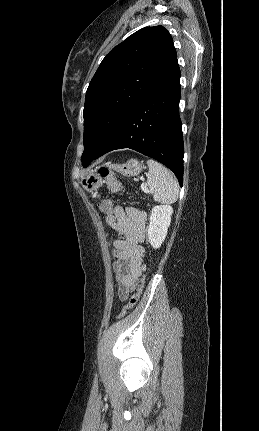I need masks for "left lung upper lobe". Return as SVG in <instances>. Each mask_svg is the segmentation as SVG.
I'll use <instances>...</instances> for the list:
<instances>
[{
    "label": "left lung upper lobe",
    "instance_id": "5c2ea615",
    "mask_svg": "<svg viewBox=\"0 0 259 431\" xmlns=\"http://www.w3.org/2000/svg\"><path fill=\"white\" fill-rule=\"evenodd\" d=\"M176 59L173 39L163 26L138 30L105 56L85 97L83 167Z\"/></svg>",
    "mask_w": 259,
    "mask_h": 431
}]
</instances>
